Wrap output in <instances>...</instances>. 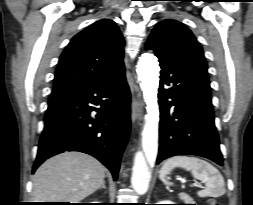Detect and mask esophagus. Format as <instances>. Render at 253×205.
Here are the masks:
<instances>
[{
    "label": "esophagus",
    "instance_id": "1",
    "mask_svg": "<svg viewBox=\"0 0 253 205\" xmlns=\"http://www.w3.org/2000/svg\"><path fill=\"white\" fill-rule=\"evenodd\" d=\"M131 119L133 123L142 119V102L138 97H134L132 100Z\"/></svg>",
    "mask_w": 253,
    "mask_h": 205
}]
</instances>
